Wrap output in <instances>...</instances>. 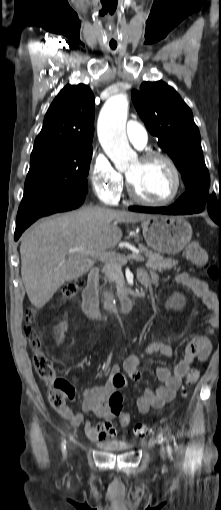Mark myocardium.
<instances>
[{
  "instance_id": "obj_1",
  "label": "myocardium",
  "mask_w": 221,
  "mask_h": 510,
  "mask_svg": "<svg viewBox=\"0 0 221 510\" xmlns=\"http://www.w3.org/2000/svg\"><path fill=\"white\" fill-rule=\"evenodd\" d=\"M139 159L142 162H149L152 160H162V161L166 162L174 175V181H175L174 189H173L172 193L170 194V196H168L165 199L149 200V199L141 197L137 193L132 181L127 176V187H128V194H129L130 199L136 203H139V204H142L145 206H152V207L167 206V205L171 204L172 202H174L179 197V195L182 191V187H183L182 175H181L180 169L177 166V164L175 163V161L169 155L162 153V152H146V153L142 154Z\"/></svg>"
}]
</instances>
